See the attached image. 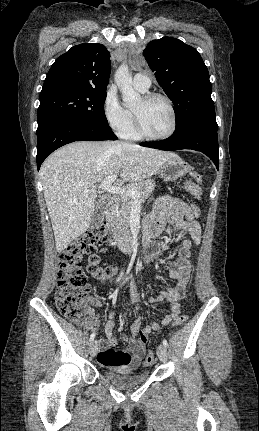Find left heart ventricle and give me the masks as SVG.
Segmentation results:
<instances>
[{"label":"left heart ventricle","instance_id":"left-heart-ventricle-1","mask_svg":"<svg viewBox=\"0 0 259 431\" xmlns=\"http://www.w3.org/2000/svg\"><path fill=\"white\" fill-rule=\"evenodd\" d=\"M142 121L145 130L151 135H162L171 126V114L167 104L161 99L145 102L142 98L133 108Z\"/></svg>","mask_w":259,"mask_h":431}]
</instances>
